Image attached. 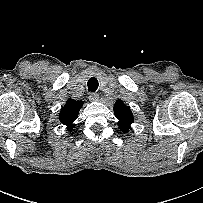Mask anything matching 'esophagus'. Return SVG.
<instances>
[{"mask_svg": "<svg viewBox=\"0 0 203 203\" xmlns=\"http://www.w3.org/2000/svg\"><path fill=\"white\" fill-rule=\"evenodd\" d=\"M89 100L92 102H97L99 100V95L97 93H90Z\"/></svg>", "mask_w": 203, "mask_h": 203, "instance_id": "34e87169", "label": "esophagus"}]
</instances>
